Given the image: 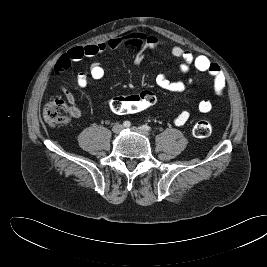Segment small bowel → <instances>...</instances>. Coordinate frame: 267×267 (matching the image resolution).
Segmentation results:
<instances>
[{"instance_id": "small-bowel-1", "label": "small bowel", "mask_w": 267, "mask_h": 267, "mask_svg": "<svg viewBox=\"0 0 267 267\" xmlns=\"http://www.w3.org/2000/svg\"><path fill=\"white\" fill-rule=\"evenodd\" d=\"M163 45L164 41L157 36L133 32L100 43L72 48L57 60L54 70L55 73L60 76L76 61L83 58H95L106 50H113L121 47L138 50L134 63L136 67H139L145 52L160 48ZM171 54L173 57L181 61L178 67L180 73L186 74L191 68H194L196 72L207 73L212 80L214 93L217 95L223 94L226 87V79L221 68L216 63L211 62L209 58L204 55L196 56L191 51L181 46H174L171 49ZM104 75L105 70L101 63L98 60H93L88 71H81L77 74L76 84L79 88H85L89 84L90 79L99 80L102 79ZM155 82L164 90L181 93L186 90L191 83V80H172L167 74L159 73L156 76ZM62 91L71 105L73 115L78 116L80 114V110L76 105L74 93L66 85H62ZM211 109L212 103L208 99H203L196 105V110L200 113H208ZM191 114V109L181 111L174 118V124L176 126L185 125L190 119Z\"/></svg>"}]
</instances>
